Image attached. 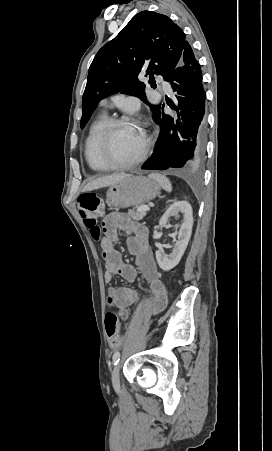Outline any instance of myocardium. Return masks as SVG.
<instances>
[{"label":"myocardium","instance_id":"1","mask_svg":"<svg viewBox=\"0 0 272 451\" xmlns=\"http://www.w3.org/2000/svg\"><path fill=\"white\" fill-rule=\"evenodd\" d=\"M120 124H132V125H138L137 122L131 121L128 118H110L107 119L105 124L103 125V128L100 132L99 138H98V155L102 164V167L104 170H118L121 169L123 166L120 163H112L110 161V152H111V131L114 126L120 125ZM141 130V133L144 137V142H139L135 145V147L132 150V154L130 158L128 159V162H134L138 157L142 154V152L145 150L146 147V140H149L150 138L147 136L146 132L143 128H139Z\"/></svg>","mask_w":272,"mask_h":451}]
</instances>
